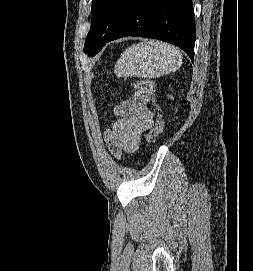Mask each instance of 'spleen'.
<instances>
[{
	"label": "spleen",
	"mask_w": 253,
	"mask_h": 271,
	"mask_svg": "<svg viewBox=\"0 0 253 271\" xmlns=\"http://www.w3.org/2000/svg\"><path fill=\"white\" fill-rule=\"evenodd\" d=\"M182 64V54L173 45L161 41H144L127 48L115 65L117 77L159 78Z\"/></svg>",
	"instance_id": "3e777b00"
}]
</instances>
